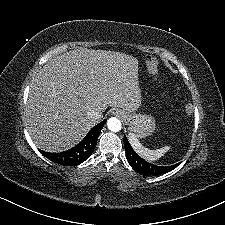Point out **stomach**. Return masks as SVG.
I'll return each mask as SVG.
<instances>
[{
  "label": "stomach",
  "instance_id": "stomach-1",
  "mask_svg": "<svg viewBox=\"0 0 225 225\" xmlns=\"http://www.w3.org/2000/svg\"><path fill=\"white\" fill-rule=\"evenodd\" d=\"M129 126L130 133L136 135L138 138L149 136L155 130V120L152 116L146 114H136L125 109L118 110Z\"/></svg>",
  "mask_w": 225,
  "mask_h": 225
}]
</instances>
